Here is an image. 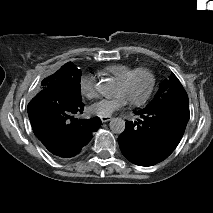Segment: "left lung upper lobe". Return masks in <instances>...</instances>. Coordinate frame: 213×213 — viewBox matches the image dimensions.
<instances>
[{
	"label": "left lung upper lobe",
	"mask_w": 213,
	"mask_h": 213,
	"mask_svg": "<svg viewBox=\"0 0 213 213\" xmlns=\"http://www.w3.org/2000/svg\"><path fill=\"white\" fill-rule=\"evenodd\" d=\"M145 109L170 110L189 118L187 93L173 73L161 83L157 95Z\"/></svg>",
	"instance_id": "obj_1"
}]
</instances>
